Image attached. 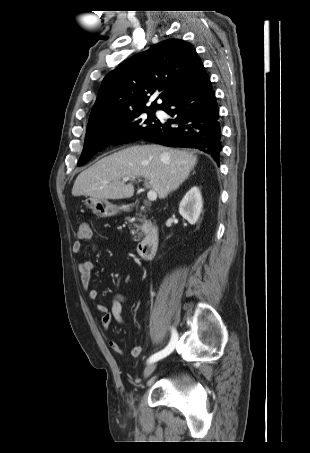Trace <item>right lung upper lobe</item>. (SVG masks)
<instances>
[{"label":"right lung upper lobe","mask_w":310,"mask_h":453,"mask_svg":"<svg viewBox=\"0 0 310 453\" xmlns=\"http://www.w3.org/2000/svg\"><path fill=\"white\" fill-rule=\"evenodd\" d=\"M203 67L194 47L180 39L153 45L121 63L103 79L88 126L139 110L162 109ZM161 91L146 106L150 96Z\"/></svg>","instance_id":"right-lung-upper-lobe-1"}]
</instances>
